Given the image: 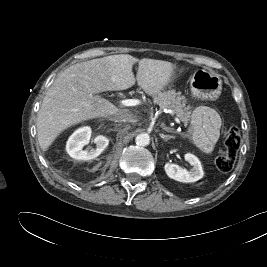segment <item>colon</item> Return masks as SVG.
Here are the masks:
<instances>
[{
	"mask_svg": "<svg viewBox=\"0 0 267 267\" xmlns=\"http://www.w3.org/2000/svg\"><path fill=\"white\" fill-rule=\"evenodd\" d=\"M240 141V132L237 127H231L225 132L224 148L216 159V166L221 172H229L234 167Z\"/></svg>",
	"mask_w": 267,
	"mask_h": 267,
	"instance_id": "obj_1",
	"label": "colon"
}]
</instances>
